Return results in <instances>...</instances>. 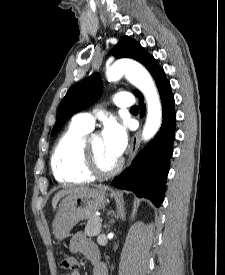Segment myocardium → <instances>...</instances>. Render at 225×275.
Segmentation results:
<instances>
[{
    "label": "myocardium",
    "instance_id": "myocardium-1",
    "mask_svg": "<svg viewBox=\"0 0 225 275\" xmlns=\"http://www.w3.org/2000/svg\"><path fill=\"white\" fill-rule=\"evenodd\" d=\"M90 139L85 138L82 144V166L84 170L92 177L106 178L115 175L122 167V162L118 161L115 166L109 170L101 169L96 161L95 155L90 149Z\"/></svg>",
    "mask_w": 225,
    "mask_h": 275
}]
</instances>
